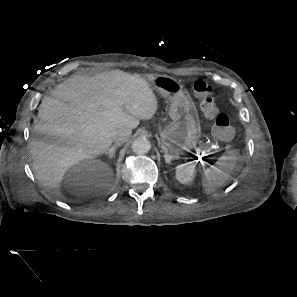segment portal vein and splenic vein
Segmentation results:
<instances>
[{"mask_svg": "<svg viewBox=\"0 0 297 297\" xmlns=\"http://www.w3.org/2000/svg\"><path fill=\"white\" fill-rule=\"evenodd\" d=\"M196 150H197L198 153H203L204 152L203 150H201L199 148H197Z\"/></svg>", "mask_w": 297, "mask_h": 297, "instance_id": "18ae733b", "label": "portal vein and splenic vein"}]
</instances>
